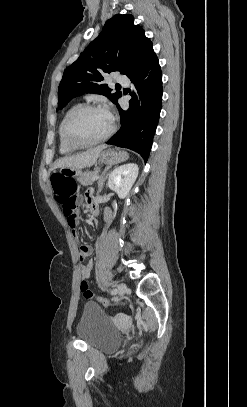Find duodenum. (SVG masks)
<instances>
[{"mask_svg": "<svg viewBox=\"0 0 247 407\" xmlns=\"http://www.w3.org/2000/svg\"><path fill=\"white\" fill-rule=\"evenodd\" d=\"M89 207L92 212L95 211V204H91Z\"/></svg>", "mask_w": 247, "mask_h": 407, "instance_id": "410a0bca", "label": "duodenum"}]
</instances>
